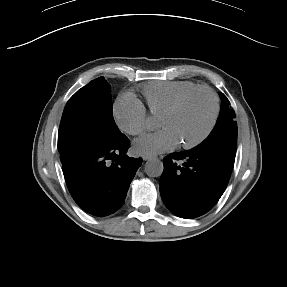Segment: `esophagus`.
<instances>
[{
	"instance_id": "esophagus-1",
	"label": "esophagus",
	"mask_w": 287,
	"mask_h": 287,
	"mask_svg": "<svg viewBox=\"0 0 287 287\" xmlns=\"http://www.w3.org/2000/svg\"><path fill=\"white\" fill-rule=\"evenodd\" d=\"M142 158H143V160H150V159H153L154 157L152 156V155H147V154H144L143 156H142Z\"/></svg>"
}]
</instances>
